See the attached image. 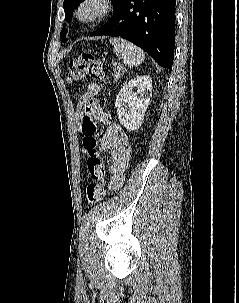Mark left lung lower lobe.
I'll list each match as a JSON object with an SVG mask.
<instances>
[{
	"mask_svg": "<svg viewBox=\"0 0 239 303\" xmlns=\"http://www.w3.org/2000/svg\"><path fill=\"white\" fill-rule=\"evenodd\" d=\"M175 0H123L111 19L91 36L125 38L160 66L172 69L175 48Z\"/></svg>",
	"mask_w": 239,
	"mask_h": 303,
	"instance_id": "left-lung-lower-lobe-1",
	"label": "left lung lower lobe"
}]
</instances>
